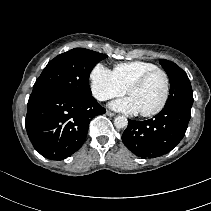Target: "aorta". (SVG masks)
<instances>
[{
	"label": "aorta",
	"mask_w": 211,
	"mask_h": 211,
	"mask_svg": "<svg viewBox=\"0 0 211 211\" xmlns=\"http://www.w3.org/2000/svg\"><path fill=\"white\" fill-rule=\"evenodd\" d=\"M114 125L116 128L121 129V128H126L128 125V120L125 116H117L114 119Z\"/></svg>",
	"instance_id": "1"
}]
</instances>
